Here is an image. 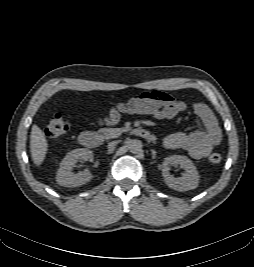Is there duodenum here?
I'll use <instances>...</instances> for the list:
<instances>
[{
    "instance_id": "1",
    "label": "duodenum",
    "mask_w": 254,
    "mask_h": 267,
    "mask_svg": "<svg viewBox=\"0 0 254 267\" xmlns=\"http://www.w3.org/2000/svg\"><path fill=\"white\" fill-rule=\"evenodd\" d=\"M132 134L138 136L147 141H153L155 136L148 130L143 128H135L131 131ZM105 135L92 132V131H83L78 136L79 143L87 148H97L102 145L105 140Z\"/></svg>"
}]
</instances>
